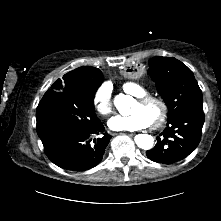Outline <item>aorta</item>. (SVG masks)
I'll return each mask as SVG.
<instances>
[{"label": "aorta", "mask_w": 221, "mask_h": 221, "mask_svg": "<svg viewBox=\"0 0 221 221\" xmlns=\"http://www.w3.org/2000/svg\"><path fill=\"white\" fill-rule=\"evenodd\" d=\"M132 101V97L119 94L115 97L114 104L118 111L123 114L127 105ZM136 145L144 150H150L154 145V138L148 134H138L135 136Z\"/></svg>", "instance_id": "1"}]
</instances>
